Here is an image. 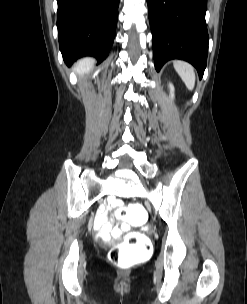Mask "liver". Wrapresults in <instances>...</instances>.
<instances>
[{"label": "liver", "mask_w": 247, "mask_h": 304, "mask_svg": "<svg viewBox=\"0 0 247 304\" xmlns=\"http://www.w3.org/2000/svg\"><path fill=\"white\" fill-rule=\"evenodd\" d=\"M93 67V60L91 58L83 59L76 64L75 70L79 75L88 73Z\"/></svg>", "instance_id": "obj_1"}]
</instances>
